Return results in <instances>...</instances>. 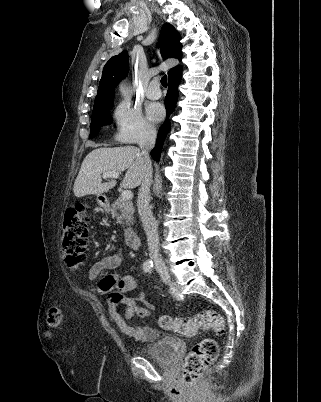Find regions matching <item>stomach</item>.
<instances>
[{
	"label": "stomach",
	"mask_w": 321,
	"mask_h": 402,
	"mask_svg": "<svg viewBox=\"0 0 321 402\" xmlns=\"http://www.w3.org/2000/svg\"><path fill=\"white\" fill-rule=\"evenodd\" d=\"M97 202H98V204H99L100 206H103L104 203H105V199H104L103 197H101V196H98V197H97Z\"/></svg>",
	"instance_id": "obj_1"
}]
</instances>
